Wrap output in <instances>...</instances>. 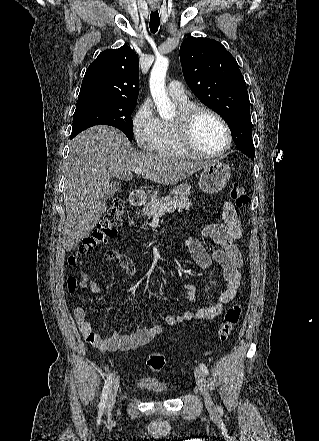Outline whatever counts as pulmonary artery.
I'll list each match as a JSON object with an SVG mask.
<instances>
[{
    "label": "pulmonary artery",
    "mask_w": 319,
    "mask_h": 441,
    "mask_svg": "<svg viewBox=\"0 0 319 441\" xmlns=\"http://www.w3.org/2000/svg\"><path fill=\"white\" fill-rule=\"evenodd\" d=\"M168 95L177 102H187V97L184 92V88L179 81H171L167 87Z\"/></svg>",
    "instance_id": "1"
}]
</instances>
